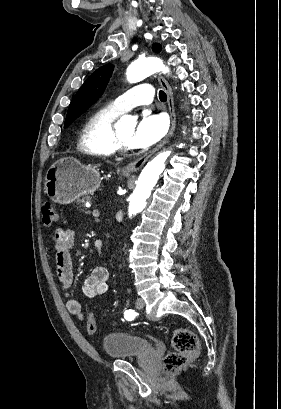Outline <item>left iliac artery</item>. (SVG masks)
Here are the masks:
<instances>
[{"label":"left iliac artery","instance_id":"left-iliac-artery-1","mask_svg":"<svg viewBox=\"0 0 281 409\" xmlns=\"http://www.w3.org/2000/svg\"><path fill=\"white\" fill-rule=\"evenodd\" d=\"M136 316V313L133 310H128L125 312V318L127 320H133Z\"/></svg>","mask_w":281,"mask_h":409}]
</instances>
